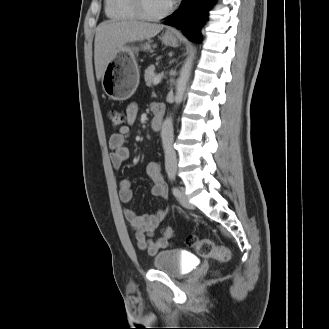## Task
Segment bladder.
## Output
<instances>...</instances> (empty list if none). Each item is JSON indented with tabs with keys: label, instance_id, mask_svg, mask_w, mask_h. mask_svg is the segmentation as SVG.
I'll return each mask as SVG.
<instances>
[{
	"label": "bladder",
	"instance_id": "1",
	"mask_svg": "<svg viewBox=\"0 0 329 329\" xmlns=\"http://www.w3.org/2000/svg\"><path fill=\"white\" fill-rule=\"evenodd\" d=\"M152 264L156 271L164 272L175 278L186 274L185 260L182 252L178 249L159 251Z\"/></svg>",
	"mask_w": 329,
	"mask_h": 329
}]
</instances>
